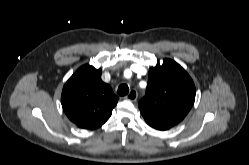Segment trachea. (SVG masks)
Segmentation results:
<instances>
[{
    "label": "trachea",
    "mask_w": 249,
    "mask_h": 165,
    "mask_svg": "<svg viewBox=\"0 0 249 165\" xmlns=\"http://www.w3.org/2000/svg\"><path fill=\"white\" fill-rule=\"evenodd\" d=\"M129 92V88L126 84H121L119 87H118V94L120 96H125L127 95Z\"/></svg>",
    "instance_id": "1"
}]
</instances>
